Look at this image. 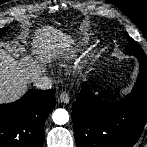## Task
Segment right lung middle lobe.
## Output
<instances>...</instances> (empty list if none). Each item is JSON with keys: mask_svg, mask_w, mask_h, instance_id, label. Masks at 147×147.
Listing matches in <instances>:
<instances>
[{"mask_svg": "<svg viewBox=\"0 0 147 147\" xmlns=\"http://www.w3.org/2000/svg\"><path fill=\"white\" fill-rule=\"evenodd\" d=\"M6 30H7V28L0 29V35H2Z\"/></svg>", "mask_w": 147, "mask_h": 147, "instance_id": "dd1d6c3e", "label": "right lung middle lobe"}]
</instances>
